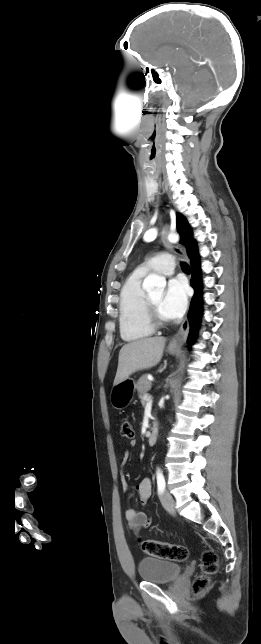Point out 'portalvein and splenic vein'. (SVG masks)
Segmentation results:
<instances>
[{"label": "portal vein and splenic vein", "mask_w": 261, "mask_h": 644, "mask_svg": "<svg viewBox=\"0 0 261 644\" xmlns=\"http://www.w3.org/2000/svg\"><path fill=\"white\" fill-rule=\"evenodd\" d=\"M150 396L148 394L144 395L143 400H149Z\"/></svg>", "instance_id": "1"}]
</instances>
